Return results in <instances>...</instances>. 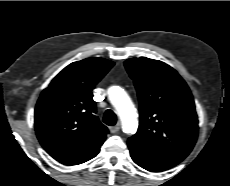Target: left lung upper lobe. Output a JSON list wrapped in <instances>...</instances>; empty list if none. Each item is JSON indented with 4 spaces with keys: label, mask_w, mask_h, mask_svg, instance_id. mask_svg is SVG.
Instances as JSON below:
<instances>
[{
    "label": "left lung upper lobe",
    "mask_w": 230,
    "mask_h": 186,
    "mask_svg": "<svg viewBox=\"0 0 230 186\" xmlns=\"http://www.w3.org/2000/svg\"><path fill=\"white\" fill-rule=\"evenodd\" d=\"M125 67L140 103L139 128L128 141L184 159L198 135L195 104L186 82L159 60L131 58Z\"/></svg>",
    "instance_id": "1"
}]
</instances>
